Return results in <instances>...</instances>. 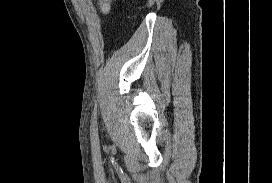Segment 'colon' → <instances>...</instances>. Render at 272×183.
I'll use <instances>...</instances> for the list:
<instances>
[{
  "instance_id": "1",
  "label": "colon",
  "mask_w": 272,
  "mask_h": 183,
  "mask_svg": "<svg viewBox=\"0 0 272 183\" xmlns=\"http://www.w3.org/2000/svg\"><path fill=\"white\" fill-rule=\"evenodd\" d=\"M111 0H101V7L103 11H107Z\"/></svg>"
}]
</instances>
